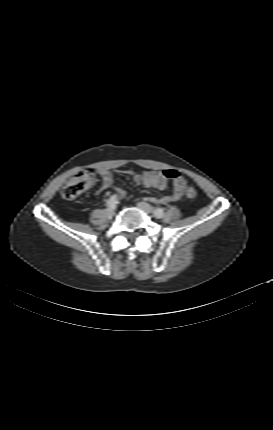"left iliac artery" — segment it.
<instances>
[{
	"label": "left iliac artery",
	"instance_id": "44dca946",
	"mask_svg": "<svg viewBox=\"0 0 273 430\" xmlns=\"http://www.w3.org/2000/svg\"><path fill=\"white\" fill-rule=\"evenodd\" d=\"M154 215L156 216V218H162L164 213H163V209L161 208H156L154 210Z\"/></svg>",
	"mask_w": 273,
	"mask_h": 430
}]
</instances>
